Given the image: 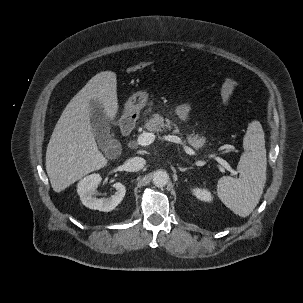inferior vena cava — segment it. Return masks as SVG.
Wrapping results in <instances>:
<instances>
[{
  "label": "inferior vena cava",
  "instance_id": "1",
  "mask_svg": "<svg viewBox=\"0 0 303 303\" xmlns=\"http://www.w3.org/2000/svg\"><path fill=\"white\" fill-rule=\"evenodd\" d=\"M146 164L145 159L141 158V157H133L128 159L124 166L126 171L129 172H137L139 170H141Z\"/></svg>",
  "mask_w": 303,
  "mask_h": 303
}]
</instances>
